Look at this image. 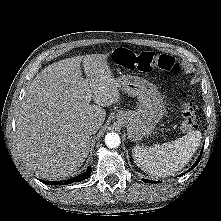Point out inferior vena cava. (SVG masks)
I'll use <instances>...</instances> for the list:
<instances>
[{
  "label": "inferior vena cava",
  "instance_id": "602c4592",
  "mask_svg": "<svg viewBox=\"0 0 221 221\" xmlns=\"http://www.w3.org/2000/svg\"><path fill=\"white\" fill-rule=\"evenodd\" d=\"M100 124L97 121H90L87 124V130L90 134H95L99 129Z\"/></svg>",
  "mask_w": 221,
  "mask_h": 221
}]
</instances>
